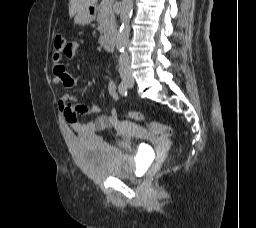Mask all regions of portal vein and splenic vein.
<instances>
[{
	"mask_svg": "<svg viewBox=\"0 0 256 228\" xmlns=\"http://www.w3.org/2000/svg\"><path fill=\"white\" fill-rule=\"evenodd\" d=\"M109 1H111V0H106L107 3H108Z\"/></svg>",
	"mask_w": 256,
	"mask_h": 228,
	"instance_id": "portal-vein-and-splenic-vein-1",
	"label": "portal vein and splenic vein"
}]
</instances>
